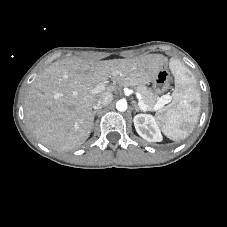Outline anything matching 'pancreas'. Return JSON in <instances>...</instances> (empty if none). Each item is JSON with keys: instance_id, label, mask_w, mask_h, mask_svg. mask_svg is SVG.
<instances>
[{"instance_id": "1", "label": "pancreas", "mask_w": 227, "mask_h": 227, "mask_svg": "<svg viewBox=\"0 0 227 227\" xmlns=\"http://www.w3.org/2000/svg\"><path fill=\"white\" fill-rule=\"evenodd\" d=\"M136 90L141 95L142 101L146 104L147 110L157 111L161 109H155V105L162 97L160 98L151 89H148L144 85H138Z\"/></svg>"}]
</instances>
